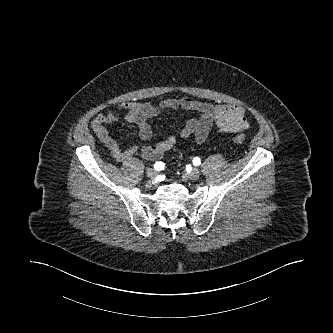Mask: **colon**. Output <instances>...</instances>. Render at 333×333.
Here are the masks:
<instances>
[{"label": "colon", "mask_w": 333, "mask_h": 333, "mask_svg": "<svg viewBox=\"0 0 333 333\" xmlns=\"http://www.w3.org/2000/svg\"><path fill=\"white\" fill-rule=\"evenodd\" d=\"M233 141H234V143L241 145L244 143L245 137L242 134H237L233 137Z\"/></svg>", "instance_id": "5ec220e1"}]
</instances>
